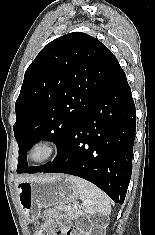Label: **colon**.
<instances>
[{
    "label": "colon",
    "mask_w": 155,
    "mask_h": 235,
    "mask_svg": "<svg viewBox=\"0 0 155 235\" xmlns=\"http://www.w3.org/2000/svg\"><path fill=\"white\" fill-rule=\"evenodd\" d=\"M37 235H49V234L46 232H43L42 230H39ZM68 235H77V234L76 232H71V233H68Z\"/></svg>",
    "instance_id": "colon-1"
}]
</instances>
